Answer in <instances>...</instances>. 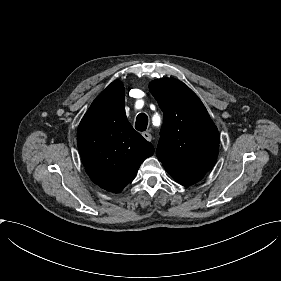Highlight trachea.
Returning <instances> with one entry per match:
<instances>
[{
  "instance_id": "obj_1",
  "label": "trachea",
  "mask_w": 281,
  "mask_h": 281,
  "mask_svg": "<svg viewBox=\"0 0 281 281\" xmlns=\"http://www.w3.org/2000/svg\"><path fill=\"white\" fill-rule=\"evenodd\" d=\"M148 125V117L145 113H140L136 117L135 128L138 131H145Z\"/></svg>"
}]
</instances>
